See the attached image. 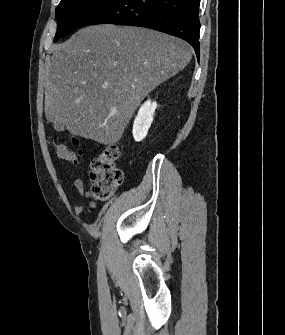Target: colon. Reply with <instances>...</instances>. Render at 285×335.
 Segmentation results:
<instances>
[{
	"label": "colon",
	"instance_id": "obj_1",
	"mask_svg": "<svg viewBox=\"0 0 285 335\" xmlns=\"http://www.w3.org/2000/svg\"><path fill=\"white\" fill-rule=\"evenodd\" d=\"M77 144V140L73 139ZM58 157L72 162H79L81 151L69 150L63 145L54 144ZM119 150L115 146L106 147L91 163L89 179L92 195L99 200L109 199L123 182V173L117 165Z\"/></svg>",
	"mask_w": 285,
	"mask_h": 335
}]
</instances>
